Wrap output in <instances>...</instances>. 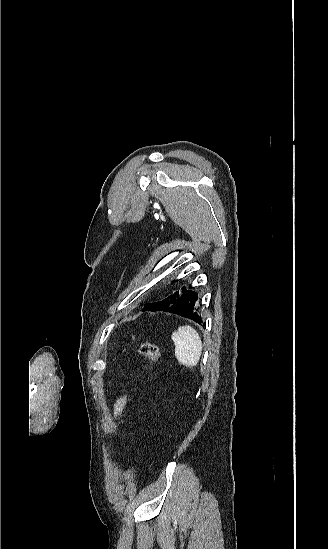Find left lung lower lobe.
I'll use <instances>...</instances> for the list:
<instances>
[{
    "mask_svg": "<svg viewBox=\"0 0 328 549\" xmlns=\"http://www.w3.org/2000/svg\"><path fill=\"white\" fill-rule=\"evenodd\" d=\"M185 291V287L182 288ZM197 301V294L193 291H185L182 295L177 297L174 300L166 301L165 299L161 302L149 304L143 308L144 311H163L169 312L183 317L190 318L195 322L201 324V319L199 318L197 312L195 311V303Z\"/></svg>",
    "mask_w": 328,
    "mask_h": 549,
    "instance_id": "obj_1",
    "label": "left lung lower lobe"
}]
</instances>
